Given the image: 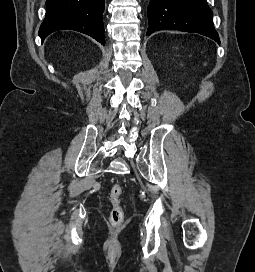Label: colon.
<instances>
[{"label": "colon", "mask_w": 255, "mask_h": 272, "mask_svg": "<svg viewBox=\"0 0 255 272\" xmlns=\"http://www.w3.org/2000/svg\"><path fill=\"white\" fill-rule=\"evenodd\" d=\"M121 195L122 186L118 183L113 184L109 192L111 202L109 222L113 226H120L124 222V211L120 202Z\"/></svg>", "instance_id": "1"}]
</instances>
